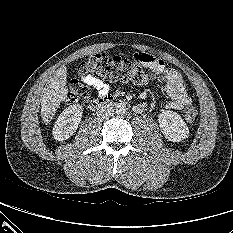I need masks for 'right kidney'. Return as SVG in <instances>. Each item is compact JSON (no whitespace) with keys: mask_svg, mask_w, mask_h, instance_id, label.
I'll list each match as a JSON object with an SVG mask.
<instances>
[{"mask_svg":"<svg viewBox=\"0 0 233 233\" xmlns=\"http://www.w3.org/2000/svg\"><path fill=\"white\" fill-rule=\"evenodd\" d=\"M83 108L78 104L67 107L58 117L53 127V136L58 141L71 137L78 128Z\"/></svg>","mask_w":233,"mask_h":233,"instance_id":"obj_1","label":"right kidney"}]
</instances>
